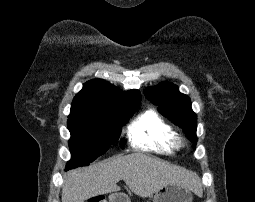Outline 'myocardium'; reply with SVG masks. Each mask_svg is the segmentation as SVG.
<instances>
[{
    "label": "myocardium",
    "mask_w": 255,
    "mask_h": 202,
    "mask_svg": "<svg viewBox=\"0 0 255 202\" xmlns=\"http://www.w3.org/2000/svg\"><path fill=\"white\" fill-rule=\"evenodd\" d=\"M175 144L177 147H182L185 145V139L181 136H177L175 137Z\"/></svg>",
    "instance_id": "f54148a6"
}]
</instances>
